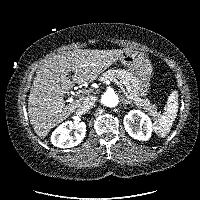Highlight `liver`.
Masks as SVG:
<instances>
[{"mask_svg": "<svg viewBox=\"0 0 200 200\" xmlns=\"http://www.w3.org/2000/svg\"><path fill=\"white\" fill-rule=\"evenodd\" d=\"M125 49H77L46 60L37 70L28 96V114L35 133L44 138L79 107L84 96L65 105L64 94L73 85L87 84L115 63ZM73 72L72 80L68 75Z\"/></svg>", "mask_w": 200, "mask_h": 200, "instance_id": "obj_1", "label": "liver"}]
</instances>
